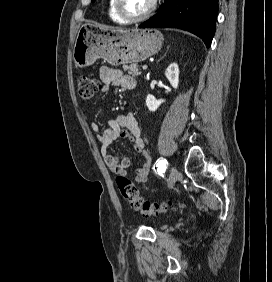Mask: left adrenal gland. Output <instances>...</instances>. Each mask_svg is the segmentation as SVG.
Here are the masks:
<instances>
[{
	"instance_id": "obj_1",
	"label": "left adrenal gland",
	"mask_w": 272,
	"mask_h": 282,
	"mask_svg": "<svg viewBox=\"0 0 272 282\" xmlns=\"http://www.w3.org/2000/svg\"><path fill=\"white\" fill-rule=\"evenodd\" d=\"M168 50H169V46L167 47V51L164 53V55L158 61H160L161 59H163L166 56Z\"/></svg>"
}]
</instances>
